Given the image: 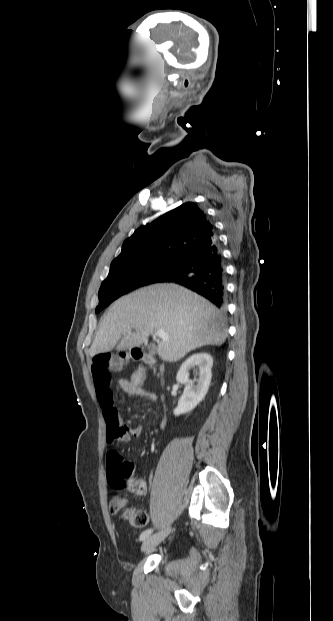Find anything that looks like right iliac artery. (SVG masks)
Wrapping results in <instances>:
<instances>
[{"label": "right iliac artery", "mask_w": 333, "mask_h": 621, "mask_svg": "<svg viewBox=\"0 0 333 621\" xmlns=\"http://www.w3.org/2000/svg\"><path fill=\"white\" fill-rule=\"evenodd\" d=\"M151 533H152V529H147L143 531L140 535V540L141 541L145 540Z\"/></svg>", "instance_id": "1"}]
</instances>
